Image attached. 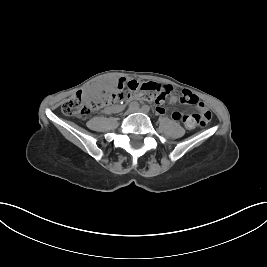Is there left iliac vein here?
Listing matches in <instances>:
<instances>
[{
	"instance_id": "4c4485c4",
	"label": "left iliac vein",
	"mask_w": 267,
	"mask_h": 267,
	"mask_svg": "<svg viewBox=\"0 0 267 267\" xmlns=\"http://www.w3.org/2000/svg\"><path fill=\"white\" fill-rule=\"evenodd\" d=\"M137 111H139V112H142V113H145V114H147V113H148V111H147V110H145L144 108L138 109Z\"/></svg>"
}]
</instances>
